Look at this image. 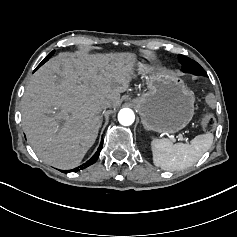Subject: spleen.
<instances>
[{"mask_svg": "<svg viewBox=\"0 0 237 237\" xmlns=\"http://www.w3.org/2000/svg\"><path fill=\"white\" fill-rule=\"evenodd\" d=\"M212 143V133L197 135L190 144H173L167 138L153 139L151 148L154 165L166 171L184 170L193 166Z\"/></svg>", "mask_w": 237, "mask_h": 237, "instance_id": "1", "label": "spleen"}]
</instances>
